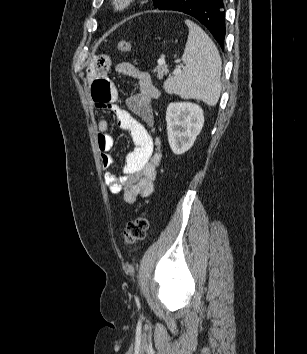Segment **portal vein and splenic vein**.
<instances>
[{"label": "portal vein and splenic vein", "instance_id": "obj_1", "mask_svg": "<svg viewBox=\"0 0 307 354\" xmlns=\"http://www.w3.org/2000/svg\"><path fill=\"white\" fill-rule=\"evenodd\" d=\"M175 62H176V63H179L180 60H176ZM158 64H165L164 59H159V60H158ZM177 72H178V70L175 71V73H177Z\"/></svg>", "mask_w": 307, "mask_h": 354}]
</instances>
